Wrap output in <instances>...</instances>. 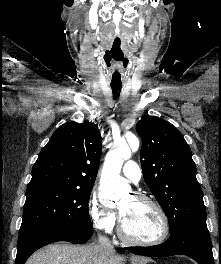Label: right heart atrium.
<instances>
[{
  "mask_svg": "<svg viewBox=\"0 0 221 264\" xmlns=\"http://www.w3.org/2000/svg\"><path fill=\"white\" fill-rule=\"evenodd\" d=\"M87 215L92 226L99 232L110 234L116 227V216L101 204L96 194L92 193L87 201Z\"/></svg>",
  "mask_w": 221,
  "mask_h": 264,
  "instance_id": "d8ad5b80",
  "label": "right heart atrium"
}]
</instances>
